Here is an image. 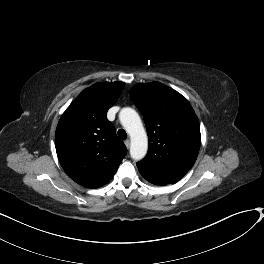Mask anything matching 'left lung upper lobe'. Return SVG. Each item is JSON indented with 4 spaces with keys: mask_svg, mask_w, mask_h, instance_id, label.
Wrapping results in <instances>:
<instances>
[{
    "mask_svg": "<svg viewBox=\"0 0 264 264\" xmlns=\"http://www.w3.org/2000/svg\"><path fill=\"white\" fill-rule=\"evenodd\" d=\"M131 99L144 116L149 147L137 163L141 175L174 184L193 166L201 134L190 103L174 89L159 83L134 86Z\"/></svg>",
    "mask_w": 264,
    "mask_h": 264,
    "instance_id": "obj_1",
    "label": "left lung upper lobe"
}]
</instances>
